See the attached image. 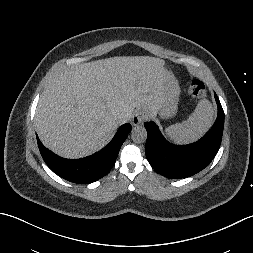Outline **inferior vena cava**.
<instances>
[{"label": "inferior vena cava", "mask_w": 253, "mask_h": 253, "mask_svg": "<svg viewBox=\"0 0 253 253\" xmlns=\"http://www.w3.org/2000/svg\"><path fill=\"white\" fill-rule=\"evenodd\" d=\"M132 118V115L131 114H127V115H123L121 116L120 118L116 119L115 120V128L116 129H121L123 125L126 124L127 121H129L130 119Z\"/></svg>", "instance_id": "inferior-vena-cava-1"}]
</instances>
